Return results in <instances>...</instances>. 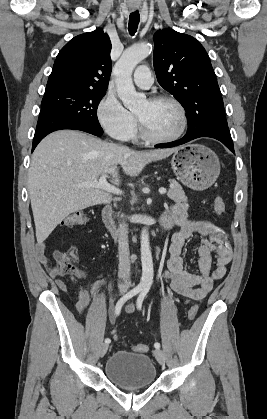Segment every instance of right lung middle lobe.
Here are the masks:
<instances>
[{
	"label": "right lung middle lobe",
	"instance_id": "1",
	"mask_svg": "<svg viewBox=\"0 0 267 419\" xmlns=\"http://www.w3.org/2000/svg\"><path fill=\"white\" fill-rule=\"evenodd\" d=\"M105 93L106 91L73 89L45 92L41 107L99 127L97 108Z\"/></svg>",
	"mask_w": 267,
	"mask_h": 419
}]
</instances>
